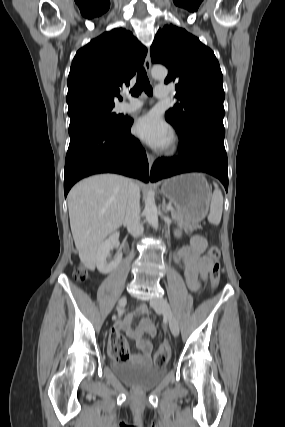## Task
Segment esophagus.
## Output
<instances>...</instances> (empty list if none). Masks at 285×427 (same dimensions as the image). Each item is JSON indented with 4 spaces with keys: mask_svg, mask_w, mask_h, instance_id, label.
Listing matches in <instances>:
<instances>
[{
    "mask_svg": "<svg viewBox=\"0 0 285 427\" xmlns=\"http://www.w3.org/2000/svg\"><path fill=\"white\" fill-rule=\"evenodd\" d=\"M144 67H145V70L147 71V73L150 74V70H151V58H150L149 51H148V53L146 55ZM147 159H148V163H149V170H151V168L153 166V163L155 161V158H154V156L152 154L147 153Z\"/></svg>",
    "mask_w": 285,
    "mask_h": 427,
    "instance_id": "esophagus-1",
    "label": "esophagus"
}]
</instances>
